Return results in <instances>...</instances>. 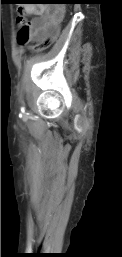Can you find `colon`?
I'll return each mask as SVG.
<instances>
[{"instance_id":"1","label":"colon","mask_w":122,"mask_h":257,"mask_svg":"<svg viewBox=\"0 0 122 257\" xmlns=\"http://www.w3.org/2000/svg\"><path fill=\"white\" fill-rule=\"evenodd\" d=\"M61 16H66V11H61ZM17 24L20 26L19 34H18V43L20 45H23L27 43L28 41V23L24 17V15L20 12L19 15L16 18ZM55 29H62L63 25L61 21H56L54 25ZM62 30H50L49 31V38H45L44 40L38 42L34 50L37 52L43 51L47 49L54 41V39H58L59 35H62Z\"/></svg>"}]
</instances>
